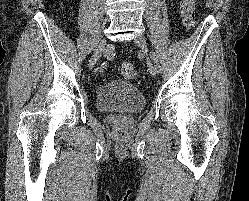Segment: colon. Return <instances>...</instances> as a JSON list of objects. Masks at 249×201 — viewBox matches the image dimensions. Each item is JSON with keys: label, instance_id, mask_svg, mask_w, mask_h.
Wrapping results in <instances>:
<instances>
[{"label": "colon", "instance_id": "colon-1", "mask_svg": "<svg viewBox=\"0 0 249 201\" xmlns=\"http://www.w3.org/2000/svg\"><path fill=\"white\" fill-rule=\"evenodd\" d=\"M196 0H181L180 13L182 23L185 29L191 30L195 26L196 21ZM119 73L125 79H133L136 75V69L133 64L129 62H123L119 66ZM116 135L119 137L123 136V132L120 128H117Z\"/></svg>", "mask_w": 249, "mask_h": 201}]
</instances>
